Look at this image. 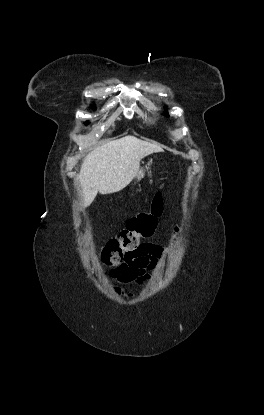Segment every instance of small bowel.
<instances>
[{"mask_svg":"<svg viewBox=\"0 0 264 415\" xmlns=\"http://www.w3.org/2000/svg\"><path fill=\"white\" fill-rule=\"evenodd\" d=\"M168 255L169 250L159 244H145L123 269H112L110 277L121 284H141L146 278L145 271L153 270Z\"/></svg>","mask_w":264,"mask_h":415,"instance_id":"small-bowel-1","label":"small bowel"}]
</instances>
